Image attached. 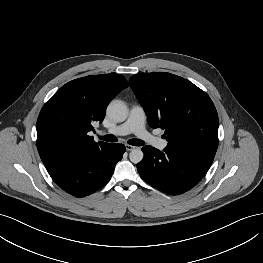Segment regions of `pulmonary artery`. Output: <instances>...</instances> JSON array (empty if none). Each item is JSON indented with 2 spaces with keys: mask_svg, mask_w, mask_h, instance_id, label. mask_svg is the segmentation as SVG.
Returning <instances> with one entry per match:
<instances>
[{
  "mask_svg": "<svg viewBox=\"0 0 263 263\" xmlns=\"http://www.w3.org/2000/svg\"><path fill=\"white\" fill-rule=\"evenodd\" d=\"M146 115L143 107L134 105L129 111L128 118L122 124L108 130L109 133L115 135L135 134L139 139L149 142L158 149H164L167 146V141L159 139L145 129Z\"/></svg>",
  "mask_w": 263,
  "mask_h": 263,
  "instance_id": "obj_1",
  "label": "pulmonary artery"
}]
</instances>
